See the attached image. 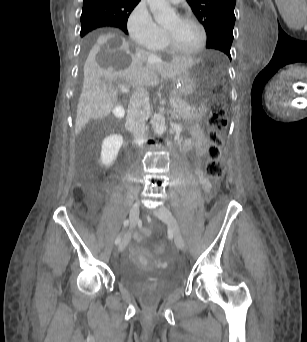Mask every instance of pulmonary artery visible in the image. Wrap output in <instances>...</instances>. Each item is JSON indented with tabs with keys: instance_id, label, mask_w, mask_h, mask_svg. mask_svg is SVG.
Segmentation results:
<instances>
[{
	"instance_id": "pulmonary-artery-1",
	"label": "pulmonary artery",
	"mask_w": 307,
	"mask_h": 342,
	"mask_svg": "<svg viewBox=\"0 0 307 342\" xmlns=\"http://www.w3.org/2000/svg\"><path fill=\"white\" fill-rule=\"evenodd\" d=\"M168 2H170L173 5H175V4H178V3L182 2V1H168Z\"/></svg>"
}]
</instances>
